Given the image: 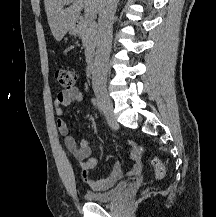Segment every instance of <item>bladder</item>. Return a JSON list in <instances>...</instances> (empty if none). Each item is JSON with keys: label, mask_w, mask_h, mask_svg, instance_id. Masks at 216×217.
Returning <instances> with one entry per match:
<instances>
[{"label": "bladder", "mask_w": 216, "mask_h": 217, "mask_svg": "<svg viewBox=\"0 0 216 217\" xmlns=\"http://www.w3.org/2000/svg\"><path fill=\"white\" fill-rule=\"evenodd\" d=\"M125 188V185L120 184L108 192L85 191L83 195L88 202L104 204L110 203L118 198Z\"/></svg>", "instance_id": "31cf9c89"}]
</instances>
